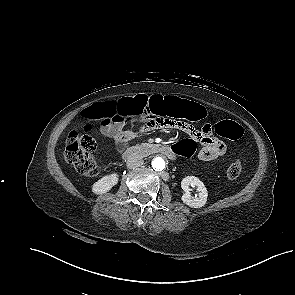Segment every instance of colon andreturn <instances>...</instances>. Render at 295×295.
<instances>
[{
    "label": "colon",
    "mask_w": 295,
    "mask_h": 295,
    "mask_svg": "<svg viewBox=\"0 0 295 295\" xmlns=\"http://www.w3.org/2000/svg\"><path fill=\"white\" fill-rule=\"evenodd\" d=\"M144 115L199 122L206 118L207 112L203 106L195 102L158 96L151 98L138 96L119 103L96 104L84 112L85 118L102 122ZM214 130L219 136L230 140H237L243 135L242 127L231 120L218 122L214 126ZM95 147L94 138L87 132L72 131L66 140L65 159L78 173L84 176H95L99 172L98 164L93 156ZM176 151L183 157L190 158L195 153V144L191 140H182L176 145ZM241 171L242 166L239 161H236L228 167L226 174L230 180H234L240 175Z\"/></svg>",
    "instance_id": "obj_1"
}]
</instances>
